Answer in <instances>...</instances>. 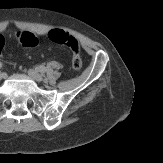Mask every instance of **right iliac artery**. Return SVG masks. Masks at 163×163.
Wrapping results in <instances>:
<instances>
[{"label":"right iliac artery","mask_w":163,"mask_h":163,"mask_svg":"<svg viewBox=\"0 0 163 163\" xmlns=\"http://www.w3.org/2000/svg\"><path fill=\"white\" fill-rule=\"evenodd\" d=\"M2 68V63L0 62V69ZM0 73H1V71H0Z\"/></svg>","instance_id":"right-iliac-artery-1"}]
</instances>
